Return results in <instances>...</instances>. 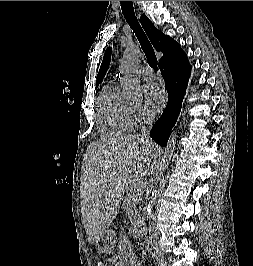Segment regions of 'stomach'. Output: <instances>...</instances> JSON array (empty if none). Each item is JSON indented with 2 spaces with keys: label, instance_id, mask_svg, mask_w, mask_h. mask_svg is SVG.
<instances>
[{
  "label": "stomach",
  "instance_id": "1",
  "mask_svg": "<svg viewBox=\"0 0 253 266\" xmlns=\"http://www.w3.org/2000/svg\"><path fill=\"white\" fill-rule=\"evenodd\" d=\"M116 235L113 230H105L100 238L95 242V247L99 253H109L114 248Z\"/></svg>",
  "mask_w": 253,
  "mask_h": 266
}]
</instances>
